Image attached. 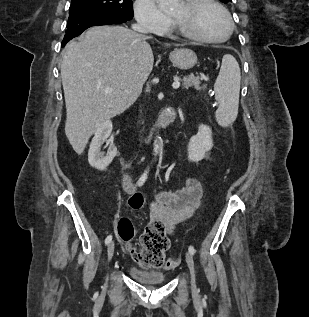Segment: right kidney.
<instances>
[{
    "instance_id": "obj_1",
    "label": "right kidney",
    "mask_w": 309,
    "mask_h": 317,
    "mask_svg": "<svg viewBox=\"0 0 309 317\" xmlns=\"http://www.w3.org/2000/svg\"><path fill=\"white\" fill-rule=\"evenodd\" d=\"M111 132L112 122L107 120L97 128L90 143L88 162L90 166L99 171L106 170L109 164L113 161L114 157L117 155L116 147H113L111 150H109L106 155L101 151L103 142L110 136Z\"/></svg>"
}]
</instances>
